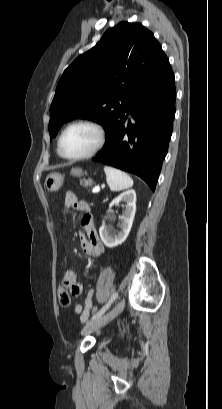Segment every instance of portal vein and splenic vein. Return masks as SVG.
I'll return each instance as SVG.
<instances>
[{
    "label": "portal vein and splenic vein",
    "instance_id": "1",
    "mask_svg": "<svg viewBox=\"0 0 222 409\" xmlns=\"http://www.w3.org/2000/svg\"><path fill=\"white\" fill-rule=\"evenodd\" d=\"M100 191V187L99 186H95L92 190L93 193H97Z\"/></svg>",
    "mask_w": 222,
    "mask_h": 409
}]
</instances>
